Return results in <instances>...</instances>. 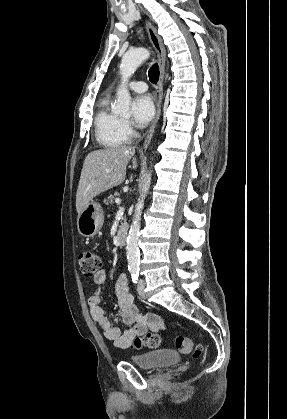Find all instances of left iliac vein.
I'll use <instances>...</instances> for the list:
<instances>
[{"label": "left iliac vein", "instance_id": "4c4485c4", "mask_svg": "<svg viewBox=\"0 0 287 419\" xmlns=\"http://www.w3.org/2000/svg\"><path fill=\"white\" fill-rule=\"evenodd\" d=\"M144 287H145V281L144 280H139L138 281V284H137V292H138V295L141 297V298H145L146 297V294H145V292H144Z\"/></svg>", "mask_w": 287, "mask_h": 419}]
</instances>
